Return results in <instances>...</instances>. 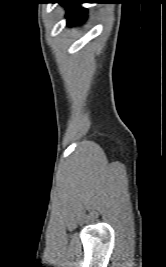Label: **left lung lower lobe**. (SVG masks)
<instances>
[{
	"label": "left lung lower lobe",
	"instance_id": "1",
	"mask_svg": "<svg viewBox=\"0 0 166 267\" xmlns=\"http://www.w3.org/2000/svg\"><path fill=\"white\" fill-rule=\"evenodd\" d=\"M83 0H60V4H74L68 9L67 24L70 26L80 24L86 19V9L81 8L79 4L83 3Z\"/></svg>",
	"mask_w": 166,
	"mask_h": 267
}]
</instances>
